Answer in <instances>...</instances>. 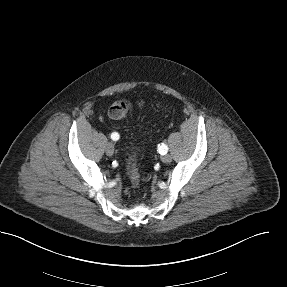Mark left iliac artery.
<instances>
[{
  "label": "left iliac artery",
  "instance_id": "obj_1",
  "mask_svg": "<svg viewBox=\"0 0 287 287\" xmlns=\"http://www.w3.org/2000/svg\"><path fill=\"white\" fill-rule=\"evenodd\" d=\"M158 152L162 155L166 154L168 152V147L165 144H159L158 145Z\"/></svg>",
  "mask_w": 287,
  "mask_h": 287
}]
</instances>
